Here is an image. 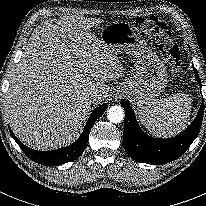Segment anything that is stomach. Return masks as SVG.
<instances>
[{
  "label": "stomach",
  "mask_w": 206,
  "mask_h": 206,
  "mask_svg": "<svg viewBox=\"0 0 206 206\" xmlns=\"http://www.w3.org/2000/svg\"><path fill=\"white\" fill-rule=\"evenodd\" d=\"M100 40L114 53H129L135 59L136 70L123 82L117 93L137 102L138 110L154 100L166 87L167 73L153 48L139 38L128 22L114 21L100 33Z\"/></svg>",
  "instance_id": "stomach-1"
}]
</instances>
